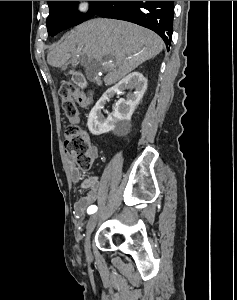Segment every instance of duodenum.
Here are the masks:
<instances>
[{
  "label": "duodenum",
  "instance_id": "obj_1",
  "mask_svg": "<svg viewBox=\"0 0 237 300\" xmlns=\"http://www.w3.org/2000/svg\"><path fill=\"white\" fill-rule=\"evenodd\" d=\"M74 80H75V82H76L78 85H80V86H83V85H84V79H83V77H82L81 75H76V76L74 77Z\"/></svg>",
  "mask_w": 237,
  "mask_h": 300
}]
</instances>
